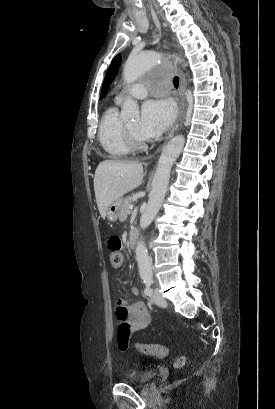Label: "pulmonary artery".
Instances as JSON below:
<instances>
[{"label":"pulmonary artery","instance_id":"pulmonary-artery-1","mask_svg":"<svg viewBox=\"0 0 275 409\" xmlns=\"http://www.w3.org/2000/svg\"><path fill=\"white\" fill-rule=\"evenodd\" d=\"M147 87L145 85H135L131 91L132 95L137 99H142L146 96ZM124 94L120 93L116 96V102L120 104L123 100Z\"/></svg>","mask_w":275,"mask_h":409}]
</instances>
